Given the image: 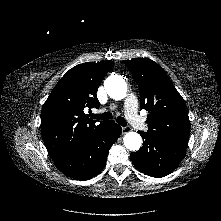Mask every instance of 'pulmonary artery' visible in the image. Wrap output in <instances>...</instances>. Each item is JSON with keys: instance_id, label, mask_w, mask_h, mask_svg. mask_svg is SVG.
<instances>
[{"instance_id": "1", "label": "pulmonary artery", "mask_w": 221, "mask_h": 221, "mask_svg": "<svg viewBox=\"0 0 221 221\" xmlns=\"http://www.w3.org/2000/svg\"><path fill=\"white\" fill-rule=\"evenodd\" d=\"M138 101L134 94H129L124 102L125 114L129 122L137 129L145 127L143 121L137 114Z\"/></svg>"}]
</instances>
